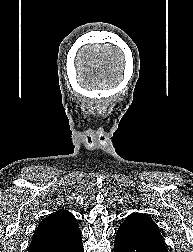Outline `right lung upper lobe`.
I'll use <instances>...</instances> for the list:
<instances>
[{
    "instance_id": "1",
    "label": "right lung upper lobe",
    "mask_w": 193,
    "mask_h": 252,
    "mask_svg": "<svg viewBox=\"0 0 193 252\" xmlns=\"http://www.w3.org/2000/svg\"><path fill=\"white\" fill-rule=\"evenodd\" d=\"M79 231L75 217L70 212L57 211L40 222L33 235L29 250L64 241Z\"/></svg>"
}]
</instances>
